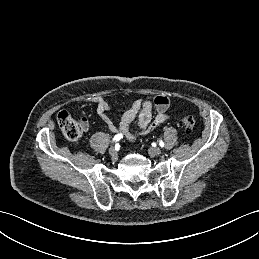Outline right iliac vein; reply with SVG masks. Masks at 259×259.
<instances>
[{
  "label": "right iliac vein",
  "instance_id": "63e3f726",
  "mask_svg": "<svg viewBox=\"0 0 259 259\" xmlns=\"http://www.w3.org/2000/svg\"><path fill=\"white\" fill-rule=\"evenodd\" d=\"M109 154L112 157L113 160H117L118 158V152L116 151V149L114 147H111L109 149Z\"/></svg>",
  "mask_w": 259,
  "mask_h": 259
}]
</instances>
